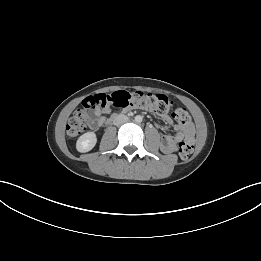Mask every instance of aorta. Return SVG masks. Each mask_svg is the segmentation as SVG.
I'll list each match as a JSON object with an SVG mask.
<instances>
[{"label":"aorta","mask_w":261,"mask_h":261,"mask_svg":"<svg viewBox=\"0 0 261 261\" xmlns=\"http://www.w3.org/2000/svg\"><path fill=\"white\" fill-rule=\"evenodd\" d=\"M142 120H143L142 116H140V115L135 116V121L136 122L140 123V122H142Z\"/></svg>","instance_id":"1"}]
</instances>
